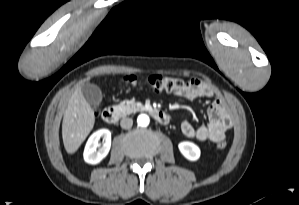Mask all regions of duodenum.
Returning <instances> with one entry per match:
<instances>
[{
    "mask_svg": "<svg viewBox=\"0 0 299 205\" xmlns=\"http://www.w3.org/2000/svg\"><path fill=\"white\" fill-rule=\"evenodd\" d=\"M147 111L151 114V116L161 124H167L169 122V116L162 110L148 108ZM121 117V111L117 107H106L102 112V118L105 122L109 124H115L119 121Z\"/></svg>",
    "mask_w": 299,
    "mask_h": 205,
    "instance_id": "1",
    "label": "duodenum"
}]
</instances>
